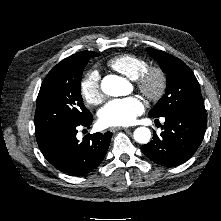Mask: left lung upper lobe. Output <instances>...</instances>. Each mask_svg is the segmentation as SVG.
I'll use <instances>...</instances> for the list:
<instances>
[{
  "label": "left lung upper lobe",
  "instance_id": "left-lung-upper-lobe-1",
  "mask_svg": "<svg viewBox=\"0 0 221 221\" xmlns=\"http://www.w3.org/2000/svg\"><path fill=\"white\" fill-rule=\"evenodd\" d=\"M147 52L159 63L167 77L166 93L149 115L161 117L188 110L205 112L200 86L192 70L183 61L164 51L149 47Z\"/></svg>",
  "mask_w": 221,
  "mask_h": 221
}]
</instances>
